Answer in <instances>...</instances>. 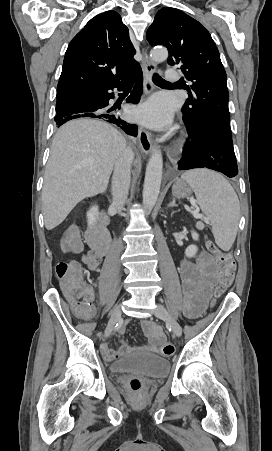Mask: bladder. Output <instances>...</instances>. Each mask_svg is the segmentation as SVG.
I'll return each mask as SVG.
<instances>
[{"label": "bladder", "instance_id": "1", "mask_svg": "<svg viewBox=\"0 0 272 451\" xmlns=\"http://www.w3.org/2000/svg\"><path fill=\"white\" fill-rule=\"evenodd\" d=\"M112 374L135 372L143 377H164L169 371L168 359L157 354H129L119 358L109 365Z\"/></svg>", "mask_w": 272, "mask_h": 451}]
</instances>
